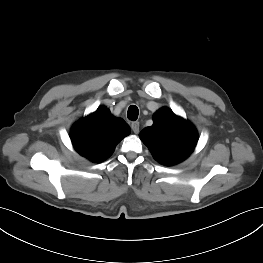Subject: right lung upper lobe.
Wrapping results in <instances>:
<instances>
[{"label": "right lung upper lobe", "mask_w": 263, "mask_h": 263, "mask_svg": "<svg viewBox=\"0 0 263 263\" xmlns=\"http://www.w3.org/2000/svg\"><path fill=\"white\" fill-rule=\"evenodd\" d=\"M130 132L128 124L111 115L106 107L75 123L71 129V141L76 151L92 162L106 160L115 146Z\"/></svg>", "instance_id": "right-lung-upper-lobe-1"}]
</instances>
